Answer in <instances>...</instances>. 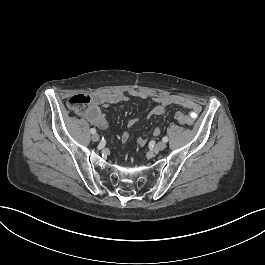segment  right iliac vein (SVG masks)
Listing matches in <instances>:
<instances>
[{
    "mask_svg": "<svg viewBox=\"0 0 265 265\" xmlns=\"http://www.w3.org/2000/svg\"><path fill=\"white\" fill-rule=\"evenodd\" d=\"M91 140H92L93 142H97V141H99V135H98V134H93V135L91 136Z\"/></svg>",
    "mask_w": 265,
    "mask_h": 265,
    "instance_id": "1",
    "label": "right iliac vein"
}]
</instances>
